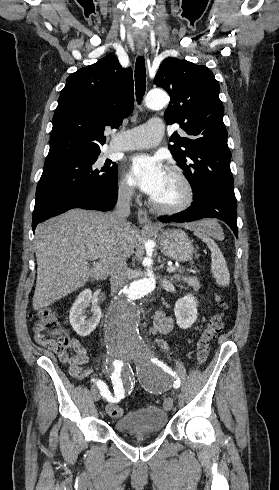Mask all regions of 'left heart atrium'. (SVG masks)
Wrapping results in <instances>:
<instances>
[{"label":"left heart atrium","instance_id":"1","mask_svg":"<svg viewBox=\"0 0 279 490\" xmlns=\"http://www.w3.org/2000/svg\"><path fill=\"white\" fill-rule=\"evenodd\" d=\"M168 172L157 156L137 155L130 160L128 177L152 199H158L164 192Z\"/></svg>","mask_w":279,"mask_h":490}]
</instances>
